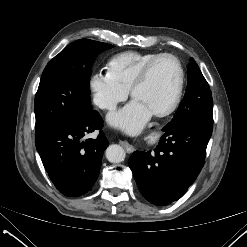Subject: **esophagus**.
I'll return each instance as SVG.
<instances>
[{
  "label": "esophagus",
  "instance_id": "obj_1",
  "mask_svg": "<svg viewBox=\"0 0 247 247\" xmlns=\"http://www.w3.org/2000/svg\"><path fill=\"white\" fill-rule=\"evenodd\" d=\"M120 144L124 147L127 153H132L134 151V148L127 142H120Z\"/></svg>",
  "mask_w": 247,
  "mask_h": 247
}]
</instances>
